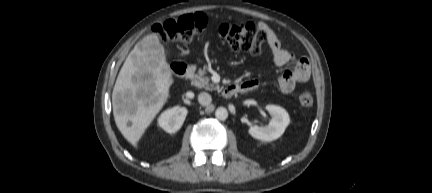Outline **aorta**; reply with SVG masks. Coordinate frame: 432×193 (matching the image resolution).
I'll use <instances>...</instances> for the list:
<instances>
[{"instance_id":"1","label":"aorta","mask_w":432,"mask_h":193,"mask_svg":"<svg viewBox=\"0 0 432 193\" xmlns=\"http://www.w3.org/2000/svg\"><path fill=\"white\" fill-rule=\"evenodd\" d=\"M215 117L218 120H221V121L226 120L227 117H228V111H227V109L224 108V107L217 108L216 111H215Z\"/></svg>"}]
</instances>
